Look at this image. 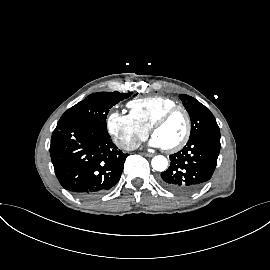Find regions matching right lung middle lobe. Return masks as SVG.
<instances>
[{"label": "right lung middle lobe", "mask_w": 270, "mask_h": 270, "mask_svg": "<svg viewBox=\"0 0 270 270\" xmlns=\"http://www.w3.org/2000/svg\"><path fill=\"white\" fill-rule=\"evenodd\" d=\"M132 93L117 91L98 92L87 96L84 100L68 109L60 118L58 124L69 122H86L106 130V118L109 109L130 97Z\"/></svg>", "instance_id": "1"}]
</instances>
